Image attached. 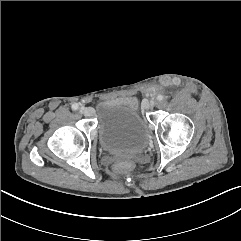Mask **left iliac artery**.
<instances>
[{"label":"left iliac artery","mask_w":241,"mask_h":241,"mask_svg":"<svg viewBox=\"0 0 241 241\" xmlns=\"http://www.w3.org/2000/svg\"><path fill=\"white\" fill-rule=\"evenodd\" d=\"M157 100H159V101L163 100V96L162 95H158L157 96Z\"/></svg>","instance_id":"1"}]
</instances>
